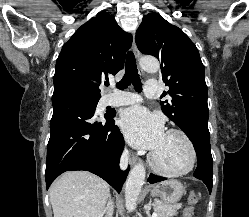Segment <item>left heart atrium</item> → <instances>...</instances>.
Returning <instances> with one entry per match:
<instances>
[{"label":"left heart atrium","mask_w":249,"mask_h":217,"mask_svg":"<svg viewBox=\"0 0 249 217\" xmlns=\"http://www.w3.org/2000/svg\"><path fill=\"white\" fill-rule=\"evenodd\" d=\"M120 126L128 142L135 148L154 151L165 135L160 117L143 107L127 109L121 116Z\"/></svg>","instance_id":"left-heart-atrium-1"}]
</instances>
